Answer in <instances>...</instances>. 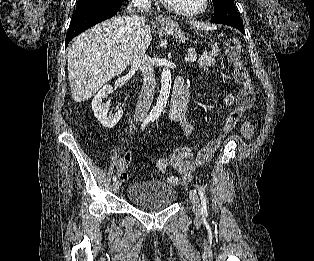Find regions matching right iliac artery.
<instances>
[{"mask_svg":"<svg viewBox=\"0 0 314 261\" xmlns=\"http://www.w3.org/2000/svg\"><path fill=\"white\" fill-rule=\"evenodd\" d=\"M150 121H151L150 118H146V119L143 121V123H142L141 129L143 130V129L146 127V125H147ZM112 179H113V181H116V180H117L116 175H114Z\"/></svg>","mask_w":314,"mask_h":261,"instance_id":"82829eb1","label":"right iliac artery"}]
</instances>
